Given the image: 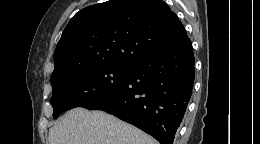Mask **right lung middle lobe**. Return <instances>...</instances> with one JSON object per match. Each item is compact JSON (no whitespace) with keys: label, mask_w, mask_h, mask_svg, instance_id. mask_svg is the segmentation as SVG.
<instances>
[{"label":"right lung middle lobe","mask_w":260,"mask_h":144,"mask_svg":"<svg viewBox=\"0 0 260 144\" xmlns=\"http://www.w3.org/2000/svg\"><path fill=\"white\" fill-rule=\"evenodd\" d=\"M129 67L97 65L51 77L53 117L75 107H88L117 92L126 82Z\"/></svg>","instance_id":"obj_1"}]
</instances>
